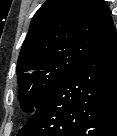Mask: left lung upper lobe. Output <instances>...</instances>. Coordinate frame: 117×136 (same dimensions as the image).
<instances>
[{
	"label": "left lung upper lobe",
	"mask_w": 117,
	"mask_h": 136,
	"mask_svg": "<svg viewBox=\"0 0 117 136\" xmlns=\"http://www.w3.org/2000/svg\"><path fill=\"white\" fill-rule=\"evenodd\" d=\"M114 29L103 0H47L35 13L18 62V101L38 107Z\"/></svg>",
	"instance_id": "obj_1"
}]
</instances>
